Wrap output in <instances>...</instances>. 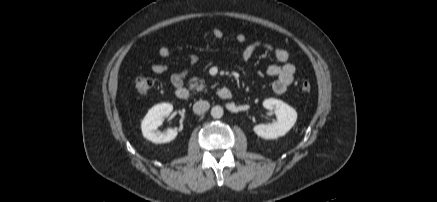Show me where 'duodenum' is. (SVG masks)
<instances>
[{
	"instance_id": "duodenum-1",
	"label": "duodenum",
	"mask_w": 437,
	"mask_h": 202,
	"mask_svg": "<svg viewBox=\"0 0 437 202\" xmlns=\"http://www.w3.org/2000/svg\"><path fill=\"white\" fill-rule=\"evenodd\" d=\"M177 98L180 100L186 101L192 98V92L189 88L185 86H181L175 91ZM218 96L221 99L228 100L232 98V92L227 87H222L218 90Z\"/></svg>"
}]
</instances>
